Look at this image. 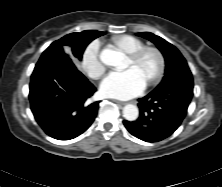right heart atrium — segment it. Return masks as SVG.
I'll return each instance as SVG.
<instances>
[{"instance_id": "obj_1", "label": "right heart atrium", "mask_w": 222, "mask_h": 187, "mask_svg": "<svg viewBox=\"0 0 222 187\" xmlns=\"http://www.w3.org/2000/svg\"><path fill=\"white\" fill-rule=\"evenodd\" d=\"M80 66L91 78L99 79L106 72V66L100 58V43L98 40L90 42L81 55Z\"/></svg>"}]
</instances>
